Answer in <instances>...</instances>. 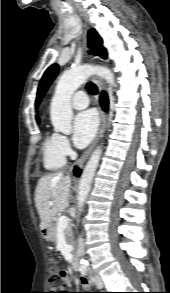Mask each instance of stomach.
Segmentation results:
<instances>
[{
    "instance_id": "1",
    "label": "stomach",
    "mask_w": 170,
    "mask_h": 293,
    "mask_svg": "<svg viewBox=\"0 0 170 293\" xmlns=\"http://www.w3.org/2000/svg\"><path fill=\"white\" fill-rule=\"evenodd\" d=\"M45 238L48 240H51V230L50 227L47 229L46 233H45Z\"/></svg>"
}]
</instances>
